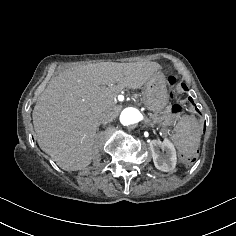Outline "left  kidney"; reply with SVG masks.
Here are the masks:
<instances>
[{
  "instance_id": "5707ae66",
  "label": "left kidney",
  "mask_w": 236,
  "mask_h": 236,
  "mask_svg": "<svg viewBox=\"0 0 236 236\" xmlns=\"http://www.w3.org/2000/svg\"><path fill=\"white\" fill-rule=\"evenodd\" d=\"M150 149L152 151V157L154 165L157 169L165 172H169L175 168L177 157L174 145L168 140H152L150 142ZM162 149L165 154H162Z\"/></svg>"
}]
</instances>
